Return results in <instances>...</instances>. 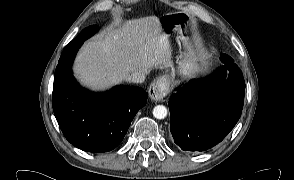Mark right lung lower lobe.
<instances>
[{
  "label": "right lung lower lobe",
  "mask_w": 294,
  "mask_h": 180,
  "mask_svg": "<svg viewBox=\"0 0 294 180\" xmlns=\"http://www.w3.org/2000/svg\"><path fill=\"white\" fill-rule=\"evenodd\" d=\"M81 44L63 49L54 76L53 110L71 144L87 152H107L123 140L148 94L134 86H116L105 93L82 88L71 70Z\"/></svg>",
  "instance_id": "98d812e1"
}]
</instances>
